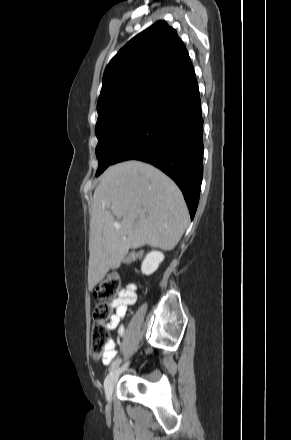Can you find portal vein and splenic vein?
Wrapping results in <instances>:
<instances>
[{
  "label": "portal vein and splenic vein",
  "mask_w": 291,
  "mask_h": 440,
  "mask_svg": "<svg viewBox=\"0 0 291 440\" xmlns=\"http://www.w3.org/2000/svg\"><path fill=\"white\" fill-rule=\"evenodd\" d=\"M115 226H116V228H120V225H118V224H116Z\"/></svg>",
  "instance_id": "obj_1"
}]
</instances>
